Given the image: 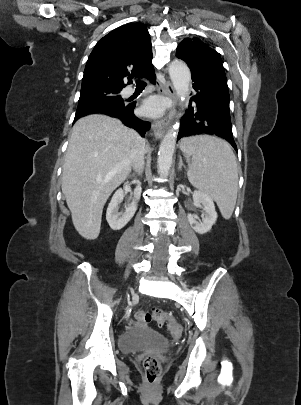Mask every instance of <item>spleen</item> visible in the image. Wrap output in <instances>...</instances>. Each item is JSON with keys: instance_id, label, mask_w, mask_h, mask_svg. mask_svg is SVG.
Here are the masks:
<instances>
[{"instance_id": "3e777b00", "label": "spleen", "mask_w": 301, "mask_h": 405, "mask_svg": "<svg viewBox=\"0 0 301 405\" xmlns=\"http://www.w3.org/2000/svg\"><path fill=\"white\" fill-rule=\"evenodd\" d=\"M180 149L191 156L189 182L209 194L222 216L229 219L235 208L238 191V169L230 145L216 137L201 135L181 140Z\"/></svg>"}]
</instances>
